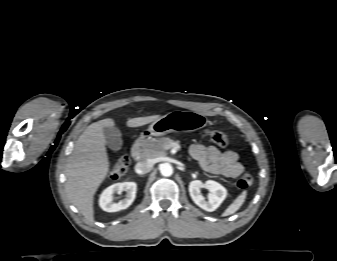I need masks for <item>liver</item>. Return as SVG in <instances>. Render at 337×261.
Here are the masks:
<instances>
[{
    "instance_id": "1",
    "label": "liver",
    "mask_w": 337,
    "mask_h": 261,
    "mask_svg": "<svg viewBox=\"0 0 337 261\" xmlns=\"http://www.w3.org/2000/svg\"><path fill=\"white\" fill-rule=\"evenodd\" d=\"M159 118V115L132 118L126 125L139 127ZM114 125L111 118L89 125L76 141L66 165L67 197L89 222L94 221V195L110 167L103 129Z\"/></svg>"
}]
</instances>
